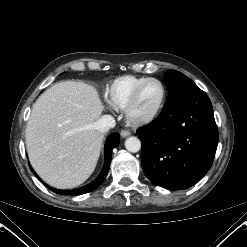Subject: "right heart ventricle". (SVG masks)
Returning <instances> with one entry per match:
<instances>
[{
  "mask_svg": "<svg viewBox=\"0 0 247 247\" xmlns=\"http://www.w3.org/2000/svg\"><path fill=\"white\" fill-rule=\"evenodd\" d=\"M148 77L126 75L115 79L106 90V100L116 109H123L135 87Z\"/></svg>",
  "mask_w": 247,
  "mask_h": 247,
  "instance_id": "obj_1",
  "label": "right heart ventricle"
}]
</instances>
